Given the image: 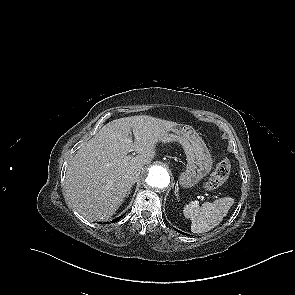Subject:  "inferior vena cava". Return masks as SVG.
<instances>
[{"label": "inferior vena cava", "mask_w": 295, "mask_h": 295, "mask_svg": "<svg viewBox=\"0 0 295 295\" xmlns=\"http://www.w3.org/2000/svg\"><path fill=\"white\" fill-rule=\"evenodd\" d=\"M130 180L133 182H136L139 178V174L137 172H133L131 173V175L129 176Z\"/></svg>", "instance_id": "inferior-vena-cava-1"}]
</instances>
